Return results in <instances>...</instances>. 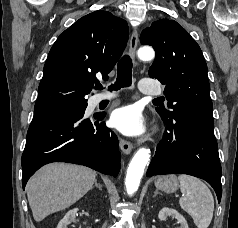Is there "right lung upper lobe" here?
<instances>
[{
	"mask_svg": "<svg viewBox=\"0 0 238 228\" xmlns=\"http://www.w3.org/2000/svg\"><path fill=\"white\" fill-rule=\"evenodd\" d=\"M128 39L125 20L110 12L95 11L65 30L52 46L39 84L35 114L58 111L86 102L95 75L107 74L122 54Z\"/></svg>",
	"mask_w": 238,
	"mask_h": 228,
	"instance_id": "right-lung-upper-lobe-1",
	"label": "right lung upper lobe"
}]
</instances>
